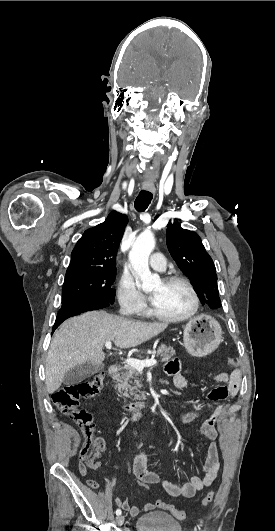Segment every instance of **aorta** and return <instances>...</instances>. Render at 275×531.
I'll list each match as a JSON object with an SVG mask.
<instances>
[{
	"instance_id": "762f6f07",
	"label": "aorta",
	"mask_w": 275,
	"mask_h": 531,
	"mask_svg": "<svg viewBox=\"0 0 275 531\" xmlns=\"http://www.w3.org/2000/svg\"><path fill=\"white\" fill-rule=\"evenodd\" d=\"M155 247V237L151 231H143L137 237L130 253L129 261L132 269L141 281V289L143 291H152L156 287H161V279L159 275H152L149 269V255H151Z\"/></svg>"
}]
</instances>
